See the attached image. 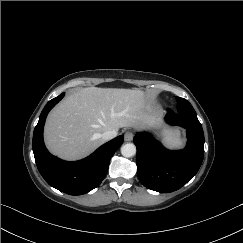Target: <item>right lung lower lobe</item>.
Instances as JSON below:
<instances>
[{"mask_svg":"<svg viewBox=\"0 0 243 243\" xmlns=\"http://www.w3.org/2000/svg\"><path fill=\"white\" fill-rule=\"evenodd\" d=\"M63 96L64 94H61L52 99L44 107L34 129L33 152L37 168L50 186L70 195H82L102 182L110 159L123 143L124 137H116L80 161L67 162L50 154L43 141L44 123L48 112Z\"/></svg>","mask_w":243,"mask_h":243,"instance_id":"right-lung-lower-lobe-1","label":"right lung lower lobe"}]
</instances>
